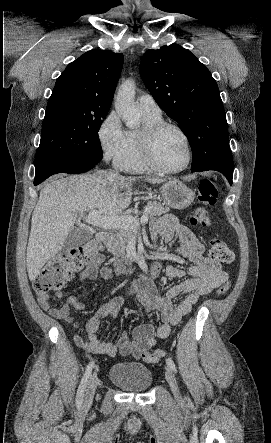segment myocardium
Masks as SVG:
<instances>
[{"label": "myocardium", "mask_w": 271, "mask_h": 443, "mask_svg": "<svg viewBox=\"0 0 271 443\" xmlns=\"http://www.w3.org/2000/svg\"><path fill=\"white\" fill-rule=\"evenodd\" d=\"M172 128L180 133V135L183 137L186 147H187V159L185 163L179 167L175 168H168L163 166L157 159L155 154V143L156 139L159 136V134L167 129ZM141 149L142 154L145 163L154 171L160 172V173H166V174H172V173H178L186 168L189 167V165L192 162L193 159V147L191 140L188 136V134L185 132V130L180 127L179 125L168 122V121H158L155 123H152L145 127L141 134Z\"/></svg>", "instance_id": "myocardium-1"}]
</instances>
